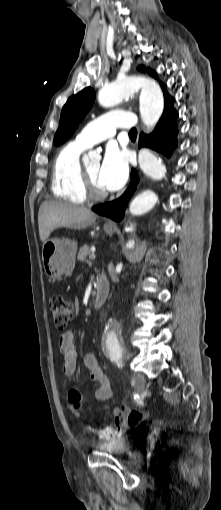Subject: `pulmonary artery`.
Wrapping results in <instances>:
<instances>
[{"mask_svg": "<svg viewBox=\"0 0 221 510\" xmlns=\"http://www.w3.org/2000/svg\"><path fill=\"white\" fill-rule=\"evenodd\" d=\"M138 125L134 114L123 111H113L104 114L88 123L75 138V141L89 148L94 144L111 138L117 128L132 129Z\"/></svg>", "mask_w": 221, "mask_h": 510, "instance_id": "pulmonary-artery-1", "label": "pulmonary artery"}]
</instances>
